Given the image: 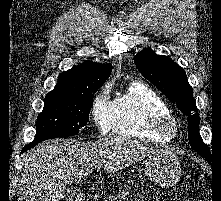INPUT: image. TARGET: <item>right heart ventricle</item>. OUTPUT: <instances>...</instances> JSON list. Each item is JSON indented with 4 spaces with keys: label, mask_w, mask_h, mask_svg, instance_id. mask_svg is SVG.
<instances>
[{
    "label": "right heart ventricle",
    "mask_w": 221,
    "mask_h": 201,
    "mask_svg": "<svg viewBox=\"0 0 221 201\" xmlns=\"http://www.w3.org/2000/svg\"><path fill=\"white\" fill-rule=\"evenodd\" d=\"M162 97L142 83L131 84L112 101L111 132L117 136L166 143L171 138L152 131L151 120L169 114Z\"/></svg>",
    "instance_id": "e07e8e85"
}]
</instances>
